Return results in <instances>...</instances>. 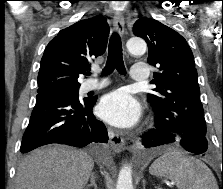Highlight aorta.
Returning a JSON list of instances; mask_svg holds the SVG:
<instances>
[{"label": "aorta", "instance_id": "aorta-1", "mask_svg": "<svg viewBox=\"0 0 223 189\" xmlns=\"http://www.w3.org/2000/svg\"><path fill=\"white\" fill-rule=\"evenodd\" d=\"M126 47L133 55H143L147 49L145 41L139 37L130 38ZM116 189H133L132 168L128 164H124L119 171Z\"/></svg>", "mask_w": 223, "mask_h": 189}]
</instances>
